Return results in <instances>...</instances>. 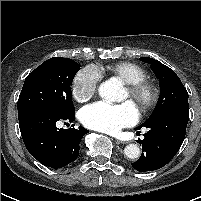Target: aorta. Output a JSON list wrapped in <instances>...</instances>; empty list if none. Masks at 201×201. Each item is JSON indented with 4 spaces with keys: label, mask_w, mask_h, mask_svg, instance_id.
<instances>
[{
    "label": "aorta",
    "mask_w": 201,
    "mask_h": 201,
    "mask_svg": "<svg viewBox=\"0 0 201 201\" xmlns=\"http://www.w3.org/2000/svg\"><path fill=\"white\" fill-rule=\"evenodd\" d=\"M120 85L111 80L105 81L99 87V95L108 101H117L120 92ZM124 154L129 159H137L140 156V148L137 144H128L124 148Z\"/></svg>",
    "instance_id": "762f6f07"
}]
</instances>
